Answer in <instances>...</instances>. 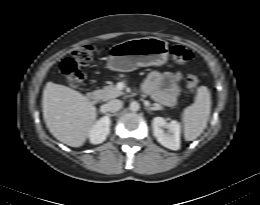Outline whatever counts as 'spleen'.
Segmentation results:
<instances>
[{
    "instance_id": "3e777b00",
    "label": "spleen",
    "mask_w": 260,
    "mask_h": 205,
    "mask_svg": "<svg viewBox=\"0 0 260 205\" xmlns=\"http://www.w3.org/2000/svg\"><path fill=\"white\" fill-rule=\"evenodd\" d=\"M211 110V95L206 86L197 89L194 104L183 111L184 136L187 141H193L199 137L207 127Z\"/></svg>"
}]
</instances>
